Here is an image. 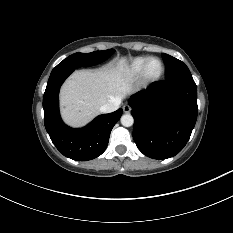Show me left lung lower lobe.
I'll list each match as a JSON object with an SVG mask.
<instances>
[{"mask_svg": "<svg viewBox=\"0 0 233 233\" xmlns=\"http://www.w3.org/2000/svg\"><path fill=\"white\" fill-rule=\"evenodd\" d=\"M133 138L153 159L178 154L188 142L197 119V87L192 77L155 82L129 101Z\"/></svg>", "mask_w": 233, "mask_h": 233, "instance_id": "left-lung-lower-lobe-1", "label": "left lung lower lobe"}]
</instances>
